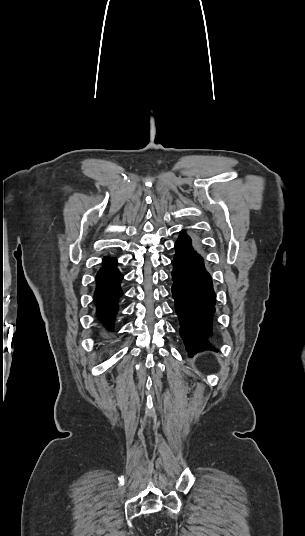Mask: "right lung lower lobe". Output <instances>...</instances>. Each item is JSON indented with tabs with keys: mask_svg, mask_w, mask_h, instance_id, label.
Instances as JSON below:
<instances>
[{
	"mask_svg": "<svg viewBox=\"0 0 305 536\" xmlns=\"http://www.w3.org/2000/svg\"><path fill=\"white\" fill-rule=\"evenodd\" d=\"M117 260L105 257L103 266L96 275V290L94 295L96 313L104 326L111 328L118 311V302L123 295L120 287L123 275L118 271Z\"/></svg>",
	"mask_w": 305,
	"mask_h": 536,
	"instance_id": "98d812e1",
	"label": "right lung lower lobe"
}]
</instances>
